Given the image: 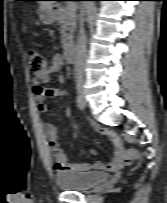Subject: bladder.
I'll list each match as a JSON object with an SVG mask.
<instances>
[{"label": "bladder", "instance_id": "1", "mask_svg": "<svg viewBox=\"0 0 167 203\" xmlns=\"http://www.w3.org/2000/svg\"><path fill=\"white\" fill-rule=\"evenodd\" d=\"M109 174L102 171L61 170L53 175L55 184L64 190H84L108 181Z\"/></svg>", "mask_w": 167, "mask_h": 203}]
</instances>
